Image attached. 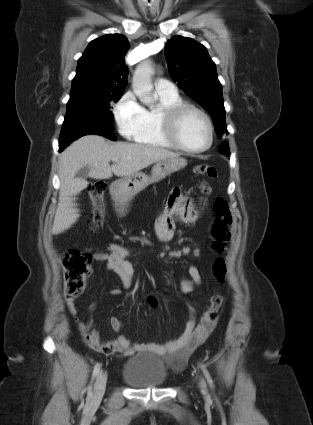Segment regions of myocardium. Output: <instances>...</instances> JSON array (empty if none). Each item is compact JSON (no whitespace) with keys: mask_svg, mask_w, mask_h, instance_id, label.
Segmentation results:
<instances>
[{"mask_svg":"<svg viewBox=\"0 0 313 425\" xmlns=\"http://www.w3.org/2000/svg\"><path fill=\"white\" fill-rule=\"evenodd\" d=\"M189 113L199 114L206 122L209 139L205 146L192 149L187 147L181 140L179 131L180 126L186 115ZM160 123L162 131L166 139L172 143L177 149L190 154H198L207 151L214 142V127L210 116L201 108L192 105L181 103L179 105L165 108L160 113Z\"/></svg>","mask_w":313,"mask_h":425,"instance_id":"f54148a6","label":"myocardium"}]
</instances>
